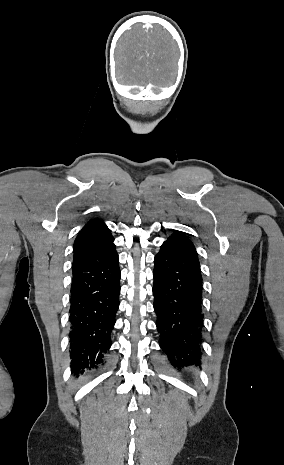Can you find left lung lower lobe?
<instances>
[{
	"instance_id": "0a47b994",
	"label": "left lung lower lobe",
	"mask_w": 284,
	"mask_h": 465,
	"mask_svg": "<svg viewBox=\"0 0 284 465\" xmlns=\"http://www.w3.org/2000/svg\"><path fill=\"white\" fill-rule=\"evenodd\" d=\"M154 310L160 347L172 364H198L202 355V277L193 243L176 231L154 259Z\"/></svg>"
}]
</instances>
